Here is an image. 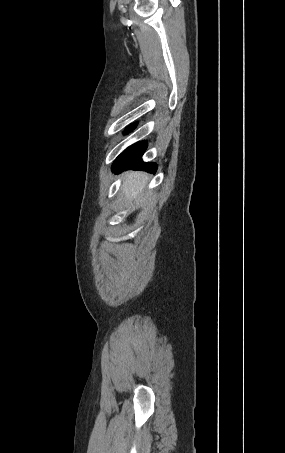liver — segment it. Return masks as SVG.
Instances as JSON below:
<instances>
[{
  "instance_id": "6515ba94",
  "label": "liver",
  "mask_w": 285,
  "mask_h": 453,
  "mask_svg": "<svg viewBox=\"0 0 285 453\" xmlns=\"http://www.w3.org/2000/svg\"><path fill=\"white\" fill-rule=\"evenodd\" d=\"M147 175L142 172H130L127 173L121 191L125 198L129 201L134 200L139 196L147 183ZM147 195L140 199V203H143Z\"/></svg>"
}]
</instances>
